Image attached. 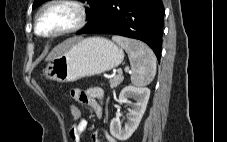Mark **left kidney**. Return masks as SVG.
Returning a JSON list of instances; mask_svg holds the SVG:
<instances>
[{"instance_id":"left-kidney-1","label":"left kidney","mask_w":227,"mask_h":142,"mask_svg":"<svg viewBox=\"0 0 227 142\" xmlns=\"http://www.w3.org/2000/svg\"><path fill=\"white\" fill-rule=\"evenodd\" d=\"M149 96L150 89L146 87L126 86L122 89L119 94L118 102L121 104L126 102L128 98H134L136 103H134L133 108L129 110L127 122L124 127H121L117 118L111 120L110 133L113 137L120 141H125L131 137L143 117Z\"/></svg>"}]
</instances>
